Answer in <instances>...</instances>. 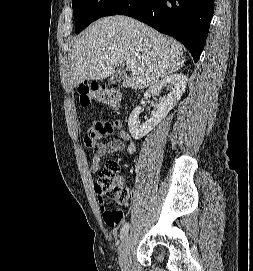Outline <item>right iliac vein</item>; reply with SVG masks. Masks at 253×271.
I'll return each instance as SVG.
<instances>
[{
  "label": "right iliac vein",
  "instance_id": "1",
  "mask_svg": "<svg viewBox=\"0 0 253 271\" xmlns=\"http://www.w3.org/2000/svg\"><path fill=\"white\" fill-rule=\"evenodd\" d=\"M130 253H131V241L130 237L126 235L121 242L119 251V262L122 271H129Z\"/></svg>",
  "mask_w": 253,
  "mask_h": 271
}]
</instances>
